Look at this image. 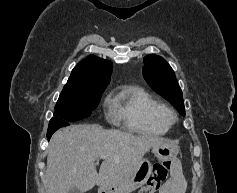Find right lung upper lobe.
<instances>
[{
	"label": "right lung upper lobe",
	"instance_id": "obj_1",
	"mask_svg": "<svg viewBox=\"0 0 237 193\" xmlns=\"http://www.w3.org/2000/svg\"><path fill=\"white\" fill-rule=\"evenodd\" d=\"M112 68L110 61L89 56L74 67L66 85L104 88L110 82Z\"/></svg>",
	"mask_w": 237,
	"mask_h": 193
}]
</instances>
